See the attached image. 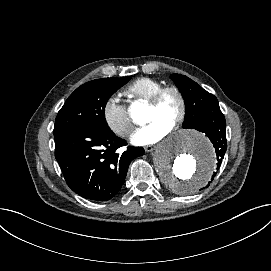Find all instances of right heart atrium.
Wrapping results in <instances>:
<instances>
[{"label":"right heart atrium","mask_w":271,"mask_h":271,"mask_svg":"<svg viewBox=\"0 0 271 271\" xmlns=\"http://www.w3.org/2000/svg\"><path fill=\"white\" fill-rule=\"evenodd\" d=\"M102 115L106 125L119 137L127 138L133 130V123L122 103V95H109L102 105Z\"/></svg>","instance_id":"obj_1"}]
</instances>
